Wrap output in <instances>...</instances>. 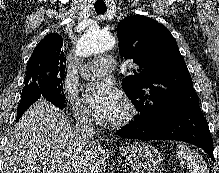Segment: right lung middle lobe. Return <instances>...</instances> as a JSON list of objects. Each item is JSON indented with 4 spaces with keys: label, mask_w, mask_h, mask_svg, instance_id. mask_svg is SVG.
Instances as JSON below:
<instances>
[{
    "label": "right lung middle lobe",
    "mask_w": 219,
    "mask_h": 173,
    "mask_svg": "<svg viewBox=\"0 0 219 173\" xmlns=\"http://www.w3.org/2000/svg\"><path fill=\"white\" fill-rule=\"evenodd\" d=\"M22 95L40 93L59 106H64L62 79L64 68L58 65L27 64Z\"/></svg>",
    "instance_id": "1"
}]
</instances>
